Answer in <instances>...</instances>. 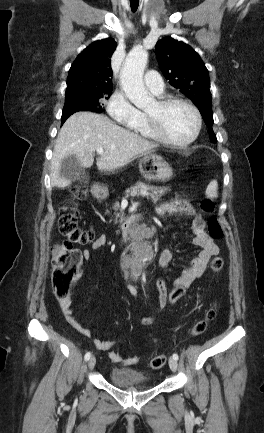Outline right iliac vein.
I'll return each instance as SVG.
<instances>
[{"instance_id": "63e3f726", "label": "right iliac vein", "mask_w": 264, "mask_h": 433, "mask_svg": "<svg viewBox=\"0 0 264 433\" xmlns=\"http://www.w3.org/2000/svg\"><path fill=\"white\" fill-rule=\"evenodd\" d=\"M95 364H96V358L95 356H92L88 361V368L92 370L95 367Z\"/></svg>"}]
</instances>
